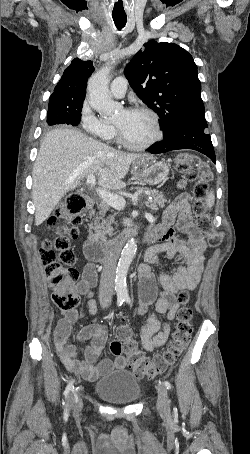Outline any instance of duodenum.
<instances>
[{
    "label": "duodenum",
    "mask_w": 250,
    "mask_h": 454,
    "mask_svg": "<svg viewBox=\"0 0 250 454\" xmlns=\"http://www.w3.org/2000/svg\"><path fill=\"white\" fill-rule=\"evenodd\" d=\"M88 208L94 207V200L91 197L85 198ZM137 232V229L122 231L117 237L109 242L88 241L85 245L87 259L95 263H104L119 250Z\"/></svg>",
    "instance_id": "duodenum-1"
}]
</instances>
